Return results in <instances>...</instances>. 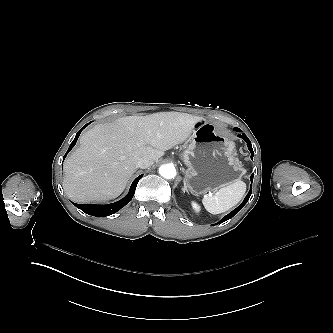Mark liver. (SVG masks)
Masks as SVG:
<instances>
[{"mask_svg": "<svg viewBox=\"0 0 333 333\" xmlns=\"http://www.w3.org/2000/svg\"><path fill=\"white\" fill-rule=\"evenodd\" d=\"M202 120L187 113L160 112L95 125L64 162L66 195L76 203L117 198L140 158L157 162L164 151L185 142Z\"/></svg>", "mask_w": 333, "mask_h": 333, "instance_id": "obj_1", "label": "liver"}]
</instances>
